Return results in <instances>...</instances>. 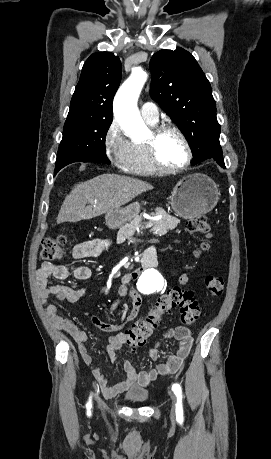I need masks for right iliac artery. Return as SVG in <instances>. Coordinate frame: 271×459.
Returning <instances> with one entry per match:
<instances>
[{
    "label": "right iliac artery",
    "mask_w": 271,
    "mask_h": 459,
    "mask_svg": "<svg viewBox=\"0 0 271 459\" xmlns=\"http://www.w3.org/2000/svg\"><path fill=\"white\" fill-rule=\"evenodd\" d=\"M86 408H87V415L90 416V415H91L90 409L92 408L91 397L89 398V401H88V403L86 404Z\"/></svg>",
    "instance_id": "obj_1"
}]
</instances>
